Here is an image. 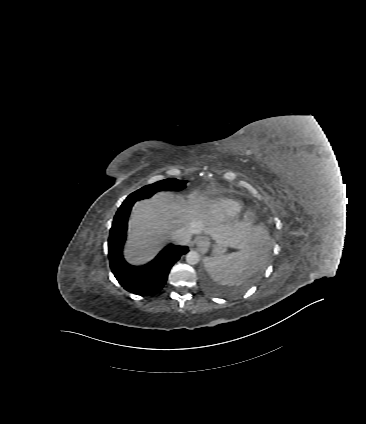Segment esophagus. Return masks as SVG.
<instances>
[{"mask_svg":"<svg viewBox=\"0 0 366 424\" xmlns=\"http://www.w3.org/2000/svg\"><path fill=\"white\" fill-rule=\"evenodd\" d=\"M196 246L200 251H206L209 247V242L206 238H200L196 242Z\"/></svg>","mask_w":366,"mask_h":424,"instance_id":"1","label":"esophagus"}]
</instances>
